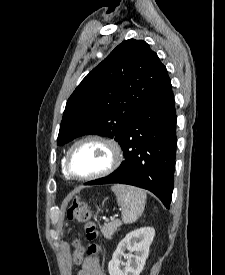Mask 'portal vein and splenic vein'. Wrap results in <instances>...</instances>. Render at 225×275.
Returning a JSON list of instances; mask_svg holds the SVG:
<instances>
[{"instance_id": "1", "label": "portal vein and splenic vein", "mask_w": 225, "mask_h": 275, "mask_svg": "<svg viewBox=\"0 0 225 275\" xmlns=\"http://www.w3.org/2000/svg\"><path fill=\"white\" fill-rule=\"evenodd\" d=\"M117 216H118L117 214L114 215V217H117Z\"/></svg>"}]
</instances>
